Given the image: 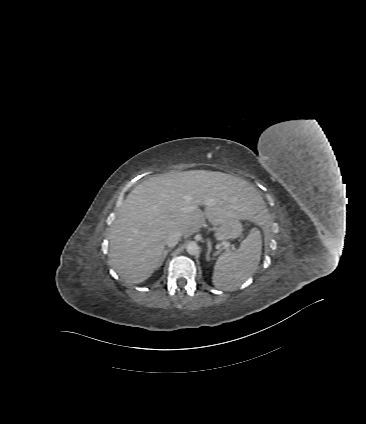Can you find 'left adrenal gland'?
<instances>
[{
    "label": "left adrenal gland",
    "mask_w": 366,
    "mask_h": 424,
    "mask_svg": "<svg viewBox=\"0 0 366 424\" xmlns=\"http://www.w3.org/2000/svg\"><path fill=\"white\" fill-rule=\"evenodd\" d=\"M211 251H212L211 243H210V241H208V251H207V254H206V260L207 261H210V253H211Z\"/></svg>",
    "instance_id": "obj_1"
}]
</instances>
